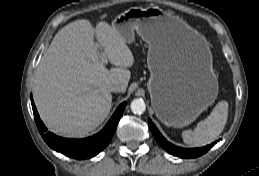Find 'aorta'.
<instances>
[{
	"mask_svg": "<svg viewBox=\"0 0 259 176\" xmlns=\"http://www.w3.org/2000/svg\"><path fill=\"white\" fill-rule=\"evenodd\" d=\"M130 108H131V111L134 113V114H142L145 112L146 110V104L145 102L143 101V99H140V98H137V99H134L131 104H130Z\"/></svg>",
	"mask_w": 259,
	"mask_h": 176,
	"instance_id": "obj_1",
	"label": "aorta"
}]
</instances>
